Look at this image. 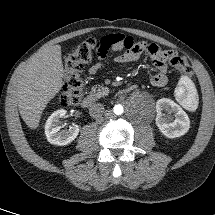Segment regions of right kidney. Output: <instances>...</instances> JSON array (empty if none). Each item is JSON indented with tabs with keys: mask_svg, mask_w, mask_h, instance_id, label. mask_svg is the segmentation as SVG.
Segmentation results:
<instances>
[{
	"mask_svg": "<svg viewBox=\"0 0 215 215\" xmlns=\"http://www.w3.org/2000/svg\"><path fill=\"white\" fill-rule=\"evenodd\" d=\"M67 111L60 109L52 113L45 124L47 140L55 145H67L71 143L79 133L78 125H71L68 130H61L60 119L65 118Z\"/></svg>",
	"mask_w": 215,
	"mask_h": 215,
	"instance_id": "obj_1",
	"label": "right kidney"
}]
</instances>
